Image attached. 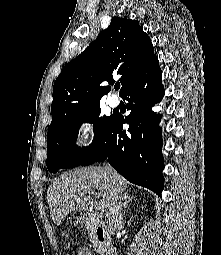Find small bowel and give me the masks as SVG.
Wrapping results in <instances>:
<instances>
[{"mask_svg":"<svg viewBox=\"0 0 221 255\" xmlns=\"http://www.w3.org/2000/svg\"><path fill=\"white\" fill-rule=\"evenodd\" d=\"M77 255H92L90 249L85 246H79L77 248Z\"/></svg>","mask_w":221,"mask_h":255,"instance_id":"1","label":"small bowel"}]
</instances>
